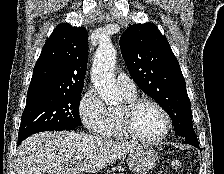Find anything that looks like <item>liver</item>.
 Listing matches in <instances>:
<instances>
[{"instance_id": "1", "label": "liver", "mask_w": 224, "mask_h": 174, "mask_svg": "<svg viewBox=\"0 0 224 174\" xmlns=\"http://www.w3.org/2000/svg\"><path fill=\"white\" fill-rule=\"evenodd\" d=\"M138 146L73 131L41 132L19 145L16 173H95L133 152Z\"/></svg>"}]
</instances>
